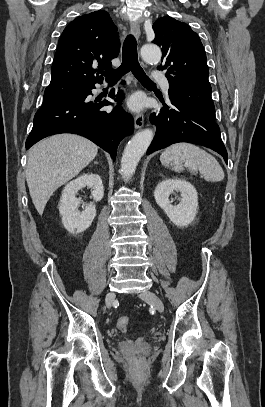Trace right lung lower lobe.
I'll list each match as a JSON object with an SVG mask.
<instances>
[{
  "mask_svg": "<svg viewBox=\"0 0 265 407\" xmlns=\"http://www.w3.org/2000/svg\"><path fill=\"white\" fill-rule=\"evenodd\" d=\"M96 83H102V80L86 84L71 99L42 106L35 114L33 129L26 140V149L47 136L74 133L90 139L115 160L120 141L133 132V118L119 106L111 112L101 111L103 106L111 103L106 100H90L89 95ZM120 94L119 91L115 95L112 89L109 96H116L115 101L120 102L123 97Z\"/></svg>",
  "mask_w": 265,
  "mask_h": 407,
  "instance_id": "1",
  "label": "right lung lower lobe"
}]
</instances>
